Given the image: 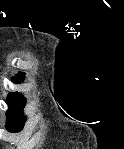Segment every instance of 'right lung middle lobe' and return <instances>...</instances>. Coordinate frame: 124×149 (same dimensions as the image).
Here are the masks:
<instances>
[{
	"mask_svg": "<svg viewBox=\"0 0 124 149\" xmlns=\"http://www.w3.org/2000/svg\"><path fill=\"white\" fill-rule=\"evenodd\" d=\"M6 103L10 107L6 113V128L13 133L19 132L20 130H22L26 121V116L23 114L22 110L26 103V99L21 93L15 92L9 94Z\"/></svg>",
	"mask_w": 124,
	"mask_h": 149,
	"instance_id": "1",
	"label": "right lung middle lobe"
}]
</instances>
